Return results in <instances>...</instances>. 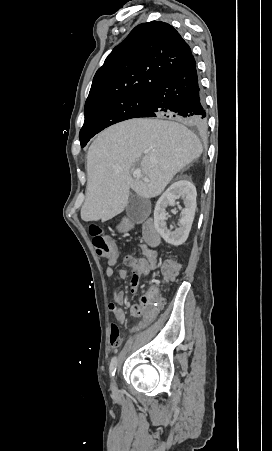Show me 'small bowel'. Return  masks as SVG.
Segmentation results:
<instances>
[{"label":"small bowel","mask_w":272,"mask_h":451,"mask_svg":"<svg viewBox=\"0 0 272 451\" xmlns=\"http://www.w3.org/2000/svg\"><path fill=\"white\" fill-rule=\"evenodd\" d=\"M138 250L141 251L142 256L144 257V261H149L151 263V268L148 270L147 274H132L128 273V271L125 268H122L121 270H110L109 264L106 268V276L111 277H117L121 280L129 279V285H130V291L131 294L136 295L138 291V285L141 278H146L150 272H153L158 267V261L159 256L158 253L152 249L149 245H146L144 243H140L136 247ZM116 258L119 259L118 255H114ZM131 261L129 262V264ZM147 295V294H146ZM126 302V296L123 291H115L114 292V302H111L108 304V310L114 315L116 321L120 324L125 322V312L123 310V306ZM131 312L133 316H141L146 315L148 313H134L133 306L131 308Z\"/></svg>","instance_id":"c3829d8e"}]
</instances>
